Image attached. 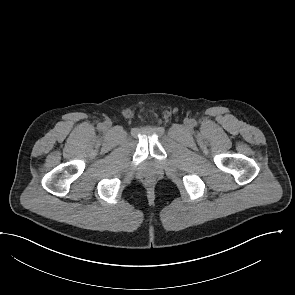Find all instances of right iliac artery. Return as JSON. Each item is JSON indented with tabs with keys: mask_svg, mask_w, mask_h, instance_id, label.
Returning <instances> with one entry per match:
<instances>
[{
	"mask_svg": "<svg viewBox=\"0 0 295 295\" xmlns=\"http://www.w3.org/2000/svg\"><path fill=\"white\" fill-rule=\"evenodd\" d=\"M98 128H99V129H103V128H104L103 124H102V123H99V124H98Z\"/></svg>",
	"mask_w": 295,
	"mask_h": 295,
	"instance_id": "1",
	"label": "right iliac artery"
}]
</instances>
